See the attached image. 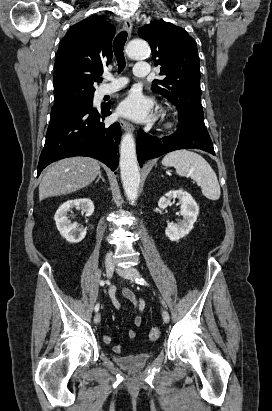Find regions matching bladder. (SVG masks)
Masks as SVG:
<instances>
[{
  "mask_svg": "<svg viewBox=\"0 0 272 411\" xmlns=\"http://www.w3.org/2000/svg\"><path fill=\"white\" fill-rule=\"evenodd\" d=\"M153 358V353L132 354V355H113V362L127 371H138L146 367Z\"/></svg>",
  "mask_w": 272,
  "mask_h": 411,
  "instance_id": "obj_1",
  "label": "bladder"
}]
</instances>
